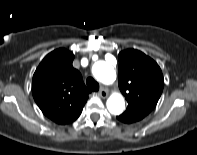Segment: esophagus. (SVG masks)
Returning a JSON list of instances; mask_svg holds the SVG:
<instances>
[{
    "label": "esophagus",
    "instance_id": "esophagus-1",
    "mask_svg": "<svg viewBox=\"0 0 197 155\" xmlns=\"http://www.w3.org/2000/svg\"><path fill=\"white\" fill-rule=\"evenodd\" d=\"M98 94L100 97L106 98L108 96V91L105 88H101Z\"/></svg>",
    "mask_w": 197,
    "mask_h": 155
}]
</instances>
